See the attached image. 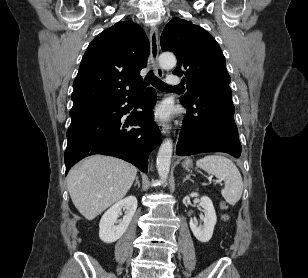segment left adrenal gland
I'll list each match as a JSON object with an SVG mask.
<instances>
[{"label": "left adrenal gland", "mask_w": 308, "mask_h": 278, "mask_svg": "<svg viewBox=\"0 0 308 278\" xmlns=\"http://www.w3.org/2000/svg\"><path fill=\"white\" fill-rule=\"evenodd\" d=\"M187 180H190L193 182V180L190 177V174L186 175V177L183 179V182H186Z\"/></svg>", "instance_id": "a2214340"}]
</instances>
